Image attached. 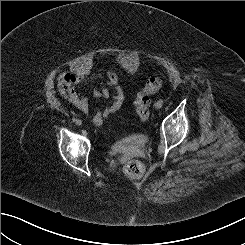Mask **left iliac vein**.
Returning <instances> with one entry per match:
<instances>
[{
	"label": "left iliac vein",
	"mask_w": 245,
	"mask_h": 245,
	"mask_svg": "<svg viewBox=\"0 0 245 245\" xmlns=\"http://www.w3.org/2000/svg\"><path fill=\"white\" fill-rule=\"evenodd\" d=\"M155 107L157 108V109H160L161 107H162V105L161 104H159L158 102L155 104Z\"/></svg>",
	"instance_id": "obj_1"
}]
</instances>
